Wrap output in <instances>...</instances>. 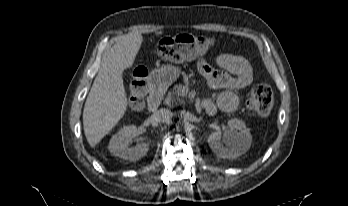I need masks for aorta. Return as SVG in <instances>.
<instances>
[{"label":"aorta","mask_w":348,"mask_h":206,"mask_svg":"<svg viewBox=\"0 0 348 206\" xmlns=\"http://www.w3.org/2000/svg\"><path fill=\"white\" fill-rule=\"evenodd\" d=\"M178 127L182 128L185 131H188L190 129V123L186 120H181L178 123Z\"/></svg>","instance_id":"obj_1"}]
</instances>
